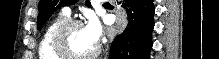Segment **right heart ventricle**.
I'll return each mask as SVG.
<instances>
[{"label":"right heart ventricle","instance_id":"right-heart-ventricle-1","mask_svg":"<svg viewBox=\"0 0 219 59\" xmlns=\"http://www.w3.org/2000/svg\"><path fill=\"white\" fill-rule=\"evenodd\" d=\"M66 20V15L59 14L44 28L38 44L39 59H63L53 49V37L57 28Z\"/></svg>","mask_w":219,"mask_h":59}]
</instances>
